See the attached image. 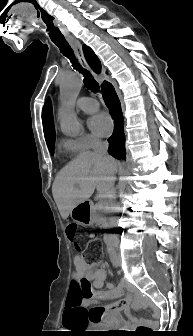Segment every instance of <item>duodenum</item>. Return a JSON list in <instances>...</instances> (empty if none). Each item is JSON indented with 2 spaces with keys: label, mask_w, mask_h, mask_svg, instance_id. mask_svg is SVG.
I'll use <instances>...</instances> for the list:
<instances>
[{
  "label": "duodenum",
  "mask_w": 193,
  "mask_h": 336,
  "mask_svg": "<svg viewBox=\"0 0 193 336\" xmlns=\"http://www.w3.org/2000/svg\"><path fill=\"white\" fill-rule=\"evenodd\" d=\"M110 254H111V257H112V260H113L114 264H116L117 254H116L115 248L113 246L110 249ZM136 304L139 306L141 304V301L138 300Z\"/></svg>",
  "instance_id": "obj_1"
}]
</instances>
